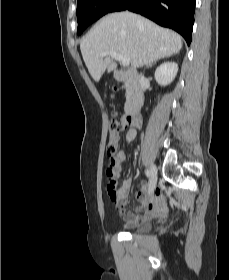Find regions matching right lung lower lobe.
I'll list each match as a JSON object with an SVG mask.
<instances>
[{"label":"right lung lower lobe","mask_w":229,"mask_h":280,"mask_svg":"<svg viewBox=\"0 0 229 280\" xmlns=\"http://www.w3.org/2000/svg\"><path fill=\"white\" fill-rule=\"evenodd\" d=\"M196 0H118L110 12L129 10L157 24L174 29L189 45L192 39Z\"/></svg>","instance_id":"1"}]
</instances>
